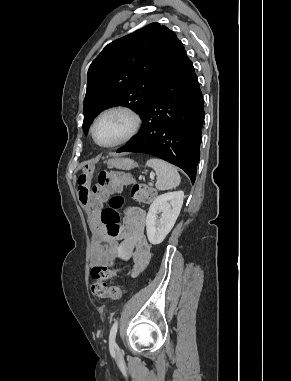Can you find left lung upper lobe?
Masks as SVG:
<instances>
[{
	"instance_id": "left-lung-upper-lobe-1",
	"label": "left lung upper lobe",
	"mask_w": 291,
	"mask_h": 381,
	"mask_svg": "<svg viewBox=\"0 0 291 381\" xmlns=\"http://www.w3.org/2000/svg\"><path fill=\"white\" fill-rule=\"evenodd\" d=\"M186 56L176 34L159 23L108 44L88 70L84 133L101 111L115 105L129 107L141 115L149 98Z\"/></svg>"
}]
</instances>
